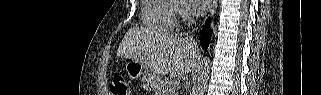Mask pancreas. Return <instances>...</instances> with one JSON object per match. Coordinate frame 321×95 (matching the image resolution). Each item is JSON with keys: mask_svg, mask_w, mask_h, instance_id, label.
I'll use <instances>...</instances> for the list:
<instances>
[{"mask_svg": "<svg viewBox=\"0 0 321 95\" xmlns=\"http://www.w3.org/2000/svg\"><path fill=\"white\" fill-rule=\"evenodd\" d=\"M179 88H176L172 79L166 78L161 81L156 89V95H177Z\"/></svg>", "mask_w": 321, "mask_h": 95, "instance_id": "pancreas-1", "label": "pancreas"}]
</instances>
